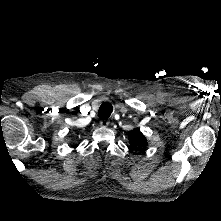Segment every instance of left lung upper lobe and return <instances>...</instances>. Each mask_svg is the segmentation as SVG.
I'll list each match as a JSON object with an SVG mask.
<instances>
[{
  "label": "left lung upper lobe",
  "mask_w": 221,
  "mask_h": 221,
  "mask_svg": "<svg viewBox=\"0 0 221 221\" xmlns=\"http://www.w3.org/2000/svg\"><path fill=\"white\" fill-rule=\"evenodd\" d=\"M129 142L133 150L144 148L147 145L145 136L139 131H134L132 135L129 136Z\"/></svg>",
  "instance_id": "left-lung-upper-lobe-1"
}]
</instances>
